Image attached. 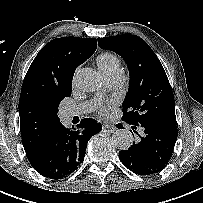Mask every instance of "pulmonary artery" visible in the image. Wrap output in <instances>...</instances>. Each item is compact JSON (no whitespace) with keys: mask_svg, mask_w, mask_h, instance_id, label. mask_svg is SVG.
Wrapping results in <instances>:
<instances>
[{"mask_svg":"<svg viewBox=\"0 0 203 203\" xmlns=\"http://www.w3.org/2000/svg\"><path fill=\"white\" fill-rule=\"evenodd\" d=\"M76 113H77L76 111L70 110V111L67 112V115L69 117H71V116L75 115Z\"/></svg>","mask_w":203,"mask_h":203,"instance_id":"obj_1","label":"pulmonary artery"}]
</instances>
